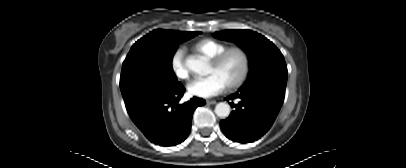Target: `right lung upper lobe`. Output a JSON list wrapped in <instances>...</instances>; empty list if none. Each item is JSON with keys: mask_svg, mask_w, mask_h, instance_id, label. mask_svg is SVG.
I'll return each mask as SVG.
<instances>
[{"mask_svg": "<svg viewBox=\"0 0 406 168\" xmlns=\"http://www.w3.org/2000/svg\"><path fill=\"white\" fill-rule=\"evenodd\" d=\"M193 32H180V31H171V30H163V29H157L153 30L149 34H147L144 37H166L170 39H176V40H188L191 37Z\"/></svg>", "mask_w": 406, "mask_h": 168, "instance_id": "obj_1", "label": "right lung upper lobe"}]
</instances>
